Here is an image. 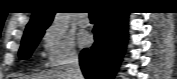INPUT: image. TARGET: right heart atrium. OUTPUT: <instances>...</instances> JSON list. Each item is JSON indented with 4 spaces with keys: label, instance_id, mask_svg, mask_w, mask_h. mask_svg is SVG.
I'll return each instance as SVG.
<instances>
[{
    "label": "right heart atrium",
    "instance_id": "d8ad5b80",
    "mask_svg": "<svg viewBox=\"0 0 177 79\" xmlns=\"http://www.w3.org/2000/svg\"><path fill=\"white\" fill-rule=\"evenodd\" d=\"M44 64L48 68H62L78 61V52L72 39L48 27L42 37Z\"/></svg>",
    "mask_w": 177,
    "mask_h": 79
}]
</instances>
